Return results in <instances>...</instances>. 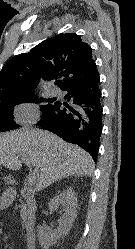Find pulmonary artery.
Listing matches in <instances>:
<instances>
[{"label": "pulmonary artery", "instance_id": "e3ab8cb5", "mask_svg": "<svg viewBox=\"0 0 135 249\" xmlns=\"http://www.w3.org/2000/svg\"><path fill=\"white\" fill-rule=\"evenodd\" d=\"M51 95H52V96H60V95H61L60 89L57 88V87L52 88V90H51Z\"/></svg>", "mask_w": 135, "mask_h": 249}]
</instances>
